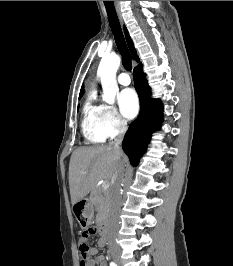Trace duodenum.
Segmentation results:
<instances>
[{
    "instance_id": "1",
    "label": "duodenum",
    "mask_w": 233,
    "mask_h": 266,
    "mask_svg": "<svg viewBox=\"0 0 233 266\" xmlns=\"http://www.w3.org/2000/svg\"><path fill=\"white\" fill-rule=\"evenodd\" d=\"M98 230H99V233L102 236V239L104 240V242H106V240H107V238L109 236V232H108V229H107L106 225L103 222L99 223Z\"/></svg>"
}]
</instances>
